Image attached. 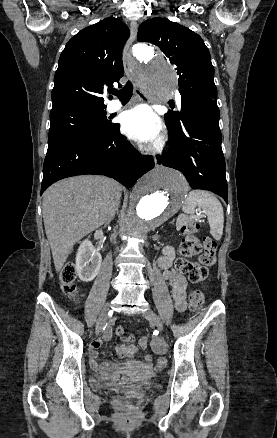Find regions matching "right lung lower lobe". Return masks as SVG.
<instances>
[{"instance_id":"98d812e1","label":"right lung lower lobe","mask_w":277,"mask_h":438,"mask_svg":"<svg viewBox=\"0 0 277 438\" xmlns=\"http://www.w3.org/2000/svg\"><path fill=\"white\" fill-rule=\"evenodd\" d=\"M154 166L120 134L119 124L101 134L64 140L47 150L41 194L54 182L82 174L105 175L130 188Z\"/></svg>"}]
</instances>
